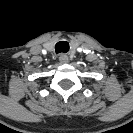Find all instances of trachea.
<instances>
[{
    "label": "trachea",
    "mask_w": 133,
    "mask_h": 133,
    "mask_svg": "<svg viewBox=\"0 0 133 133\" xmlns=\"http://www.w3.org/2000/svg\"><path fill=\"white\" fill-rule=\"evenodd\" d=\"M69 50V43L67 41H60L55 45L56 54L66 53Z\"/></svg>",
    "instance_id": "obj_1"
}]
</instances>
